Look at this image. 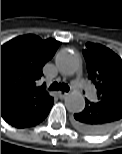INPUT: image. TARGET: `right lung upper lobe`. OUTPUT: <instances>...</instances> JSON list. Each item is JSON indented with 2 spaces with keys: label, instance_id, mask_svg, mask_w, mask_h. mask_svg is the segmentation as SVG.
<instances>
[{
  "label": "right lung upper lobe",
  "instance_id": "cb5924a9",
  "mask_svg": "<svg viewBox=\"0 0 122 154\" xmlns=\"http://www.w3.org/2000/svg\"><path fill=\"white\" fill-rule=\"evenodd\" d=\"M59 45L55 39L23 35L1 46V116L7 123L15 125L43 112L53 102L36 81Z\"/></svg>",
  "mask_w": 122,
  "mask_h": 154
}]
</instances>
